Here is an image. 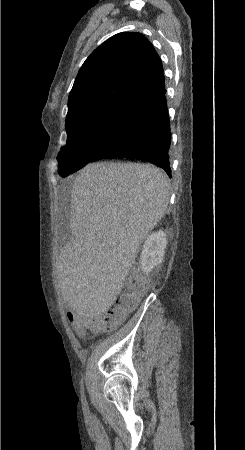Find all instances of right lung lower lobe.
<instances>
[{"label":"right lung lower lobe","mask_w":245,"mask_h":450,"mask_svg":"<svg viewBox=\"0 0 245 450\" xmlns=\"http://www.w3.org/2000/svg\"><path fill=\"white\" fill-rule=\"evenodd\" d=\"M126 133L115 146L98 153L91 161L136 158L161 167L171 177L168 153L171 137L165 93L134 115Z\"/></svg>","instance_id":"1"}]
</instances>
